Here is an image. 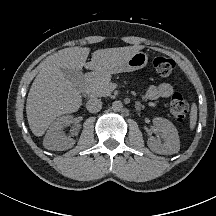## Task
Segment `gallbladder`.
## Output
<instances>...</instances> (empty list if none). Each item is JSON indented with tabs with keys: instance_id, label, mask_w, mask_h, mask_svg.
I'll use <instances>...</instances> for the list:
<instances>
[{
	"instance_id": "gallbladder-1",
	"label": "gallbladder",
	"mask_w": 216,
	"mask_h": 216,
	"mask_svg": "<svg viewBox=\"0 0 216 216\" xmlns=\"http://www.w3.org/2000/svg\"><path fill=\"white\" fill-rule=\"evenodd\" d=\"M61 71L65 78L76 86L83 82V73L80 70L62 68Z\"/></svg>"
}]
</instances>
